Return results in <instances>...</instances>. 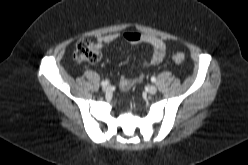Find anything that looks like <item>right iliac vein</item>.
I'll return each instance as SVG.
<instances>
[{
  "instance_id": "1",
  "label": "right iliac vein",
  "mask_w": 248,
  "mask_h": 165,
  "mask_svg": "<svg viewBox=\"0 0 248 165\" xmlns=\"http://www.w3.org/2000/svg\"><path fill=\"white\" fill-rule=\"evenodd\" d=\"M103 91L105 92V93H109L110 91H111V86H109V85H106V86H103Z\"/></svg>"
}]
</instances>
